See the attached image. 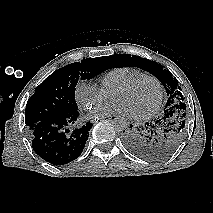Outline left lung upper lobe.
Wrapping results in <instances>:
<instances>
[{"instance_id": "left-lung-upper-lobe-1", "label": "left lung upper lobe", "mask_w": 213, "mask_h": 213, "mask_svg": "<svg viewBox=\"0 0 213 213\" xmlns=\"http://www.w3.org/2000/svg\"><path fill=\"white\" fill-rule=\"evenodd\" d=\"M113 67L134 66L141 68L161 81L168 100L160 119H157L153 135L147 137L148 151L145 158L161 160L175 152L186 132L187 109L184 93L177 79L157 62L136 55L119 54L112 57Z\"/></svg>"}]
</instances>
